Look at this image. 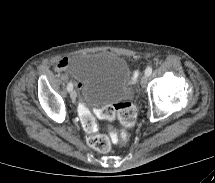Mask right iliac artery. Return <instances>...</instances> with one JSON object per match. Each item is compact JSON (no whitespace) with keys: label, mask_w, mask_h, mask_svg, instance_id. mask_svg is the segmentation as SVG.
Segmentation results:
<instances>
[{"label":"right iliac artery","mask_w":215,"mask_h":183,"mask_svg":"<svg viewBox=\"0 0 215 183\" xmlns=\"http://www.w3.org/2000/svg\"><path fill=\"white\" fill-rule=\"evenodd\" d=\"M73 89V84L72 82H69L67 85V90L70 92Z\"/></svg>","instance_id":"obj_1"}]
</instances>
